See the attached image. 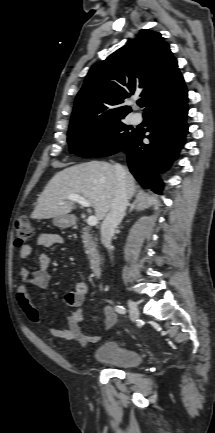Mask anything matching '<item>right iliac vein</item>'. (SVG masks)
Masks as SVG:
<instances>
[{
    "label": "right iliac vein",
    "instance_id": "obj_1",
    "mask_svg": "<svg viewBox=\"0 0 215 433\" xmlns=\"http://www.w3.org/2000/svg\"><path fill=\"white\" fill-rule=\"evenodd\" d=\"M128 306L130 309V318L133 322H136L140 316L139 308L136 302L128 300Z\"/></svg>",
    "mask_w": 215,
    "mask_h": 433
}]
</instances>
